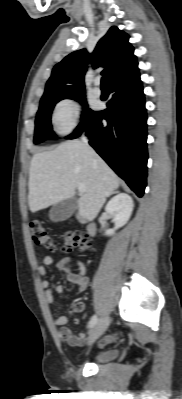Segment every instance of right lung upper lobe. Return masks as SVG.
Here are the masks:
<instances>
[{
    "mask_svg": "<svg viewBox=\"0 0 182 399\" xmlns=\"http://www.w3.org/2000/svg\"><path fill=\"white\" fill-rule=\"evenodd\" d=\"M128 39L126 33L114 26L99 40L91 54L81 49L66 56L53 68L42 99L85 95L84 75L88 60L94 68L105 67L102 73L109 77L110 85L137 73V59Z\"/></svg>",
    "mask_w": 182,
    "mask_h": 399,
    "instance_id": "1",
    "label": "right lung upper lobe"
}]
</instances>
